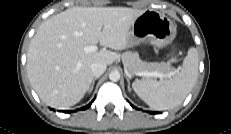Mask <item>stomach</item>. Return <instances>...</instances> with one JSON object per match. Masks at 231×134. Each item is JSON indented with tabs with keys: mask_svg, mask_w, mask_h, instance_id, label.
Listing matches in <instances>:
<instances>
[{
	"mask_svg": "<svg viewBox=\"0 0 231 134\" xmlns=\"http://www.w3.org/2000/svg\"><path fill=\"white\" fill-rule=\"evenodd\" d=\"M175 36L176 26L169 18L155 10H146L131 25L129 46L150 42L162 48L170 44Z\"/></svg>",
	"mask_w": 231,
	"mask_h": 134,
	"instance_id": "0dacf381",
	"label": "stomach"
}]
</instances>
